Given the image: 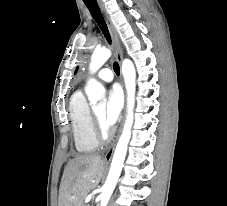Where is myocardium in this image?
<instances>
[{
  "mask_svg": "<svg viewBox=\"0 0 227 206\" xmlns=\"http://www.w3.org/2000/svg\"><path fill=\"white\" fill-rule=\"evenodd\" d=\"M91 114L93 119L94 131L97 139L99 141L108 140L110 132L103 126L99 118L96 116L95 112H91Z\"/></svg>",
  "mask_w": 227,
  "mask_h": 206,
  "instance_id": "obj_1",
  "label": "myocardium"
}]
</instances>
